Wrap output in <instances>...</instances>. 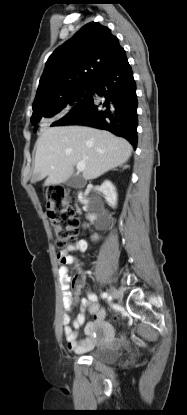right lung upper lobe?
Listing matches in <instances>:
<instances>
[{
  "label": "right lung upper lobe",
  "mask_w": 187,
  "mask_h": 415,
  "mask_svg": "<svg viewBox=\"0 0 187 415\" xmlns=\"http://www.w3.org/2000/svg\"><path fill=\"white\" fill-rule=\"evenodd\" d=\"M123 51L109 28L97 22L86 24L50 55L33 108L57 102L74 88L93 83Z\"/></svg>",
  "instance_id": "obj_1"
}]
</instances>
